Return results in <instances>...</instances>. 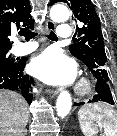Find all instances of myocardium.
Here are the masks:
<instances>
[{"instance_id":"myocardium-1","label":"myocardium","mask_w":117,"mask_h":136,"mask_svg":"<svg viewBox=\"0 0 117 136\" xmlns=\"http://www.w3.org/2000/svg\"><path fill=\"white\" fill-rule=\"evenodd\" d=\"M92 89V84L87 78H82L76 86V93L78 95H87Z\"/></svg>"}]
</instances>
